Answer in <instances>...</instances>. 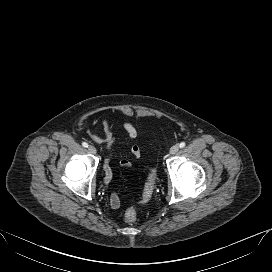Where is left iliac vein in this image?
Wrapping results in <instances>:
<instances>
[{
  "instance_id": "4c4485c4",
  "label": "left iliac vein",
  "mask_w": 272,
  "mask_h": 272,
  "mask_svg": "<svg viewBox=\"0 0 272 272\" xmlns=\"http://www.w3.org/2000/svg\"><path fill=\"white\" fill-rule=\"evenodd\" d=\"M179 150V146L178 145H173L171 148H170V154H175L177 153Z\"/></svg>"
}]
</instances>
